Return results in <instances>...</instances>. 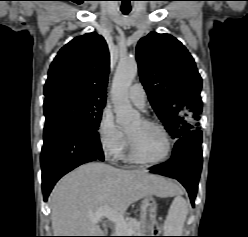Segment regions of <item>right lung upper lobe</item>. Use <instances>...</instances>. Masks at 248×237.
<instances>
[{
	"mask_svg": "<svg viewBox=\"0 0 248 237\" xmlns=\"http://www.w3.org/2000/svg\"><path fill=\"white\" fill-rule=\"evenodd\" d=\"M108 74L109 52L104 38L95 32L76 37L50 66L44 102L60 97L105 102Z\"/></svg>",
	"mask_w": 248,
	"mask_h": 237,
	"instance_id": "cb5924a9",
	"label": "right lung upper lobe"
}]
</instances>
